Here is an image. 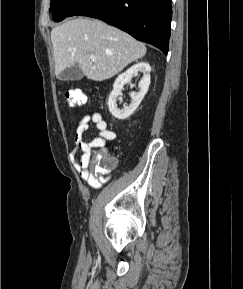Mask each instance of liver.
<instances>
[{
	"mask_svg": "<svg viewBox=\"0 0 243 289\" xmlns=\"http://www.w3.org/2000/svg\"><path fill=\"white\" fill-rule=\"evenodd\" d=\"M55 74L79 67L94 81H104L146 54V46L124 31L97 19L76 18L51 31ZM96 57L93 62L90 56Z\"/></svg>",
	"mask_w": 243,
	"mask_h": 289,
	"instance_id": "liver-1",
	"label": "liver"
}]
</instances>
